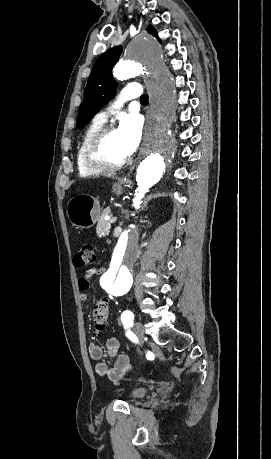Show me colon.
I'll return each mask as SVG.
<instances>
[{
    "mask_svg": "<svg viewBox=\"0 0 271 459\" xmlns=\"http://www.w3.org/2000/svg\"><path fill=\"white\" fill-rule=\"evenodd\" d=\"M96 259L94 248L90 243H84L73 258L76 266L81 267L92 264ZM109 313V301L103 297L98 299L92 312V323L96 332L106 328Z\"/></svg>",
    "mask_w": 271,
    "mask_h": 459,
    "instance_id": "colon-1",
    "label": "colon"
}]
</instances>
